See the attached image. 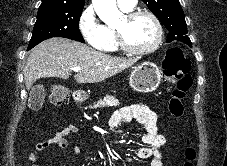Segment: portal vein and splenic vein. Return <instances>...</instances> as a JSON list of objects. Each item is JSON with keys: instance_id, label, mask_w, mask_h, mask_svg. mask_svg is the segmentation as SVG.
Listing matches in <instances>:
<instances>
[{"instance_id": "portal-vein-and-splenic-vein-1", "label": "portal vein and splenic vein", "mask_w": 227, "mask_h": 166, "mask_svg": "<svg viewBox=\"0 0 227 166\" xmlns=\"http://www.w3.org/2000/svg\"><path fill=\"white\" fill-rule=\"evenodd\" d=\"M72 70H73L74 72H79V71H80V68L74 67V68H72Z\"/></svg>"}]
</instances>
